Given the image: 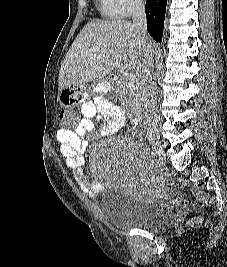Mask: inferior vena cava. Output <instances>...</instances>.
I'll return each instance as SVG.
<instances>
[{
	"mask_svg": "<svg viewBox=\"0 0 227 267\" xmlns=\"http://www.w3.org/2000/svg\"><path fill=\"white\" fill-rule=\"evenodd\" d=\"M132 26L143 37L144 59L140 75V90L143 102V119L146 136L158 134L157 102L155 97V83L153 81V59L152 51L145 45L144 38L147 37L145 7L142 0H134Z\"/></svg>",
	"mask_w": 227,
	"mask_h": 267,
	"instance_id": "obj_1",
	"label": "inferior vena cava"
}]
</instances>
